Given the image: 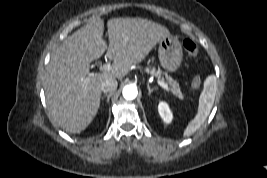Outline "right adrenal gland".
Instances as JSON below:
<instances>
[{
  "label": "right adrenal gland",
  "instance_id": "1",
  "mask_svg": "<svg viewBox=\"0 0 267 178\" xmlns=\"http://www.w3.org/2000/svg\"><path fill=\"white\" fill-rule=\"evenodd\" d=\"M111 96H112V94H105V95L102 96L101 100L103 101L104 98L106 97L107 98V103H109Z\"/></svg>",
  "mask_w": 267,
  "mask_h": 178
}]
</instances>
